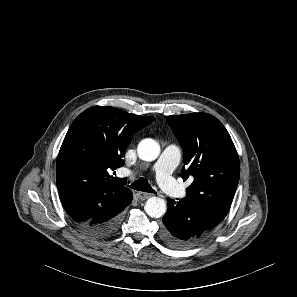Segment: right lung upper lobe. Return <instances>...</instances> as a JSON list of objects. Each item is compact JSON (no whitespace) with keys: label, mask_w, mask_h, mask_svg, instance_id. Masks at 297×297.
<instances>
[{"label":"right lung upper lobe","mask_w":297,"mask_h":297,"mask_svg":"<svg viewBox=\"0 0 297 297\" xmlns=\"http://www.w3.org/2000/svg\"><path fill=\"white\" fill-rule=\"evenodd\" d=\"M154 119L110 106H94L74 120L56 166L60 198L74 221L85 222L99 212L119 208L132 197L109 172L123 166L132 135Z\"/></svg>","instance_id":"right-lung-upper-lobe-1"}]
</instances>
